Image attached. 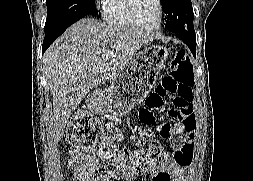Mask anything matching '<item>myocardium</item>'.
<instances>
[{
    "label": "myocardium",
    "instance_id": "obj_1",
    "mask_svg": "<svg viewBox=\"0 0 253 181\" xmlns=\"http://www.w3.org/2000/svg\"><path fill=\"white\" fill-rule=\"evenodd\" d=\"M157 4H158V8H159V18H158V22L156 25L154 26H146L143 25L137 18L136 13H135V3L136 0H125V10H126V14L127 17L129 19V21L131 22V24L139 29L145 30V31H155L158 30L162 24H163V20H164V4L162 0H156Z\"/></svg>",
    "mask_w": 253,
    "mask_h": 181
}]
</instances>
